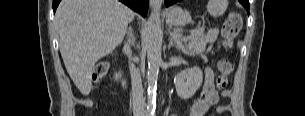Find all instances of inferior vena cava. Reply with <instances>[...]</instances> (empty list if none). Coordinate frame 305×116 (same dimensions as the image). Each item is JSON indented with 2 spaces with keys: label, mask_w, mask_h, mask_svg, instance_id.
<instances>
[{
  "label": "inferior vena cava",
  "mask_w": 305,
  "mask_h": 116,
  "mask_svg": "<svg viewBox=\"0 0 305 116\" xmlns=\"http://www.w3.org/2000/svg\"><path fill=\"white\" fill-rule=\"evenodd\" d=\"M131 42L128 40L125 45L127 54L131 58L132 52L130 49ZM130 72H131V84H132V103L134 116H144V98H143V86L140 74L135 68V65L130 61Z\"/></svg>",
  "instance_id": "602c4592"
}]
</instances>
